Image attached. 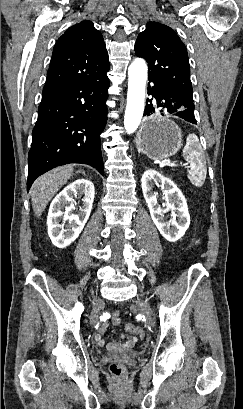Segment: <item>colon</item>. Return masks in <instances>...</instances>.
I'll return each instance as SVG.
<instances>
[{
	"mask_svg": "<svg viewBox=\"0 0 243 409\" xmlns=\"http://www.w3.org/2000/svg\"><path fill=\"white\" fill-rule=\"evenodd\" d=\"M111 320L113 324L119 325L121 323L120 313L118 311H115L111 316ZM126 330L127 332L135 334L140 338L144 336V331L139 326L128 324L126 326ZM109 370L115 378H120L124 374V367L120 363H117V362L111 363L109 366Z\"/></svg>",
	"mask_w": 243,
	"mask_h": 409,
	"instance_id": "obj_1",
	"label": "colon"
}]
</instances>
